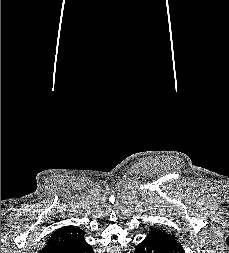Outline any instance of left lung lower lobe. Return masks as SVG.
<instances>
[{
    "instance_id": "obj_1",
    "label": "left lung lower lobe",
    "mask_w": 229,
    "mask_h": 253,
    "mask_svg": "<svg viewBox=\"0 0 229 253\" xmlns=\"http://www.w3.org/2000/svg\"><path fill=\"white\" fill-rule=\"evenodd\" d=\"M134 253H185L181 244L170 239L145 238Z\"/></svg>"
}]
</instances>
